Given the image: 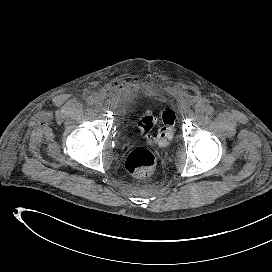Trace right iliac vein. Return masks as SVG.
<instances>
[{"label":"right iliac vein","mask_w":272,"mask_h":272,"mask_svg":"<svg viewBox=\"0 0 272 272\" xmlns=\"http://www.w3.org/2000/svg\"><path fill=\"white\" fill-rule=\"evenodd\" d=\"M100 106H101L100 101H99L98 99H95V100H94V107H95L96 109H99Z\"/></svg>","instance_id":"63e3f726"}]
</instances>
